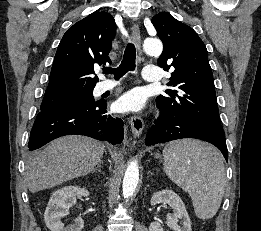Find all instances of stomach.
Here are the masks:
<instances>
[{
    "label": "stomach",
    "instance_id": "obj_1",
    "mask_svg": "<svg viewBox=\"0 0 261 231\" xmlns=\"http://www.w3.org/2000/svg\"><path fill=\"white\" fill-rule=\"evenodd\" d=\"M160 157H161V155L159 153L155 154V158H160Z\"/></svg>",
    "mask_w": 261,
    "mask_h": 231
}]
</instances>
